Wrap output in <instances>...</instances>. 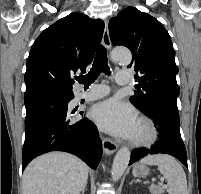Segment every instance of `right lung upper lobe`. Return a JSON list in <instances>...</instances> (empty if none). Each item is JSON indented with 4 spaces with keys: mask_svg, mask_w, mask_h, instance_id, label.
Here are the masks:
<instances>
[{
    "mask_svg": "<svg viewBox=\"0 0 201 194\" xmlns=\"http://www.w3.org/2000/svg\"><path fill=\"white\" fill-rule=\"evenodd\" d=\"M103 30V21L75 12L45 29L27 59L25 94L38 90L71 93L75 74L86 71Z\"/></svg>",
    "mask_w": 201,
    "mask_h": 194,
    "instance_id": "right-lung-upper-lobe-1",
    "label": "right lung upper lobe"
}]
</instances>
